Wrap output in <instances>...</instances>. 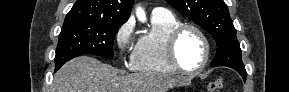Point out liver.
Returning a JSON list of instances; mask_svg holds the SVG:
<instances>
[{"mask_svg":"<svg viewBox=\"0 0 289 92\" xmlns=\"http://www.w3.org/2000/svg\"><path fill=\"white\" fill-rule=\"evenodd\" d=\"M184 83V79L153 73L119 75L112 66L81 56L57 71L52 92H167Z\"/></svg>","mask_w":289,"mask_h":92,"instance_id":"obj_1","label":"liver"}]
</instances>
